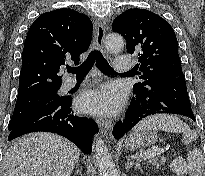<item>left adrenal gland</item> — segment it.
Instances as JSON below:
<instances>
[{
    "instance_id": "left-adrenal-gland-1",
    "label": "left adrenal gland",
    "mask_w": 205,
    "mask_h": 176,
    "mask_svg": "<svg viewBox=\"0 0 205 176\" xmlns=\"http://www.w3.org/2000/svg\"><path fill=\"white\" fill-rule=\"evenodd\" d=\"M132 166H134L135 168H139V163L138 162H134L133 160L130 159V157H127V163H126V169H130Z\"/></svg>"
}]
</instances>
